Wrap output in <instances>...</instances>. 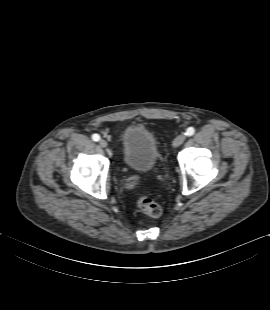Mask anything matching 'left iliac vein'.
Listing matches in <instances>:
<instances>
[{
	"mask_svg": "<svg viewBox=\"0 0 270 310\" xmlns=\"http://www.w3.org/2000/svg\"><path fill=\"white\" fill-rule=\"evenodd\" d=\"M186 140V135L185 134H180L178 135L172 142L173 147H178L180 146L184 141Z\"/></svg>",
	"mask_w": 270,
	"mask_h": 310,
	"instance_id": "4c4485c4",
	"label": "left iliac vein"
}]
</instances>
